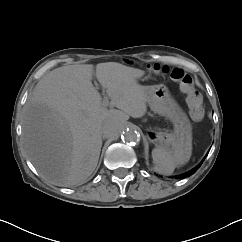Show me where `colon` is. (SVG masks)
I'll return each instance as SVG.
<instances>
[{"label": "colon", "mask_w": 242, "mask_h": 242, "mask_svg": "<svg viewBox=\"0 0 242 242\" xmlns=\"http://www.w3.org/2000/svg\"><path fill=\"white\" fill-rule=\"evenodd\" d=\"M148 68L156 73L168 75L179 84L180 89L186 94V102L189 113L194 121H199L204 115V100L201 93L195 87L194 78L181 68H169L165 65L152 64Z\"/></svg>", "instance_id": "obj_1"}]
</instances>
